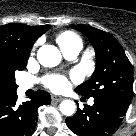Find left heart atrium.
<instances>
[{
  "label": "left heart atrium",
  "mask_w": 136,
  "mask_h": 136,
  "mask_svg": "<svg viewBox=\"0 0 136 136\" xmlns=\"http://www.w3.org/2000/svg\"><path fill=\"white\" fill-rule=\"evenodd\" d=\"M44 84L55 92L64 91L69 87V81L63 75H48L44 78Z\"/></svg>",
  "instance_id": "39dd6f15"
}]
</instances>
